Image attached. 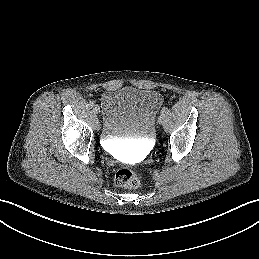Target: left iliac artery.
<instances>
[{"label": "left iliac artery", "instance_id": "obj_1", "mask_svg": "<svg viewBox=\"0 0 259 259\" xmlns=\"http://www.w3.org/2000/svg\"><path fill=\"white\" fill-rule=\"evenodd\" d=\"M168 113V108L167 107H163L161 110V114H166Z\"/></svg>", "mask_w": 259, "mask_h": 259}]
</instances>
